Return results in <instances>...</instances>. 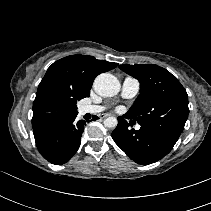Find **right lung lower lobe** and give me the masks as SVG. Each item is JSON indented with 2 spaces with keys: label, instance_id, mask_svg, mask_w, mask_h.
I'll return each instance as SVG.
<instances>
[{
  "label": "right lung lower lobe",
  "instance_id": "98d812e1",
  "mask_svg": "<svg viewBox=\"0 0 211 211\" xmlns=\"http://www.w3.org/2000/svg\"><path fill=\"white\" fill-rule=\"evenodd\" d=\"M77 114L74 113L34 131L36 146L50 163L64 164L78 150L85 121H77Z\"/></svg>",
  "mask_w": 211,
  "mask_h": 211
}]
</instances>
